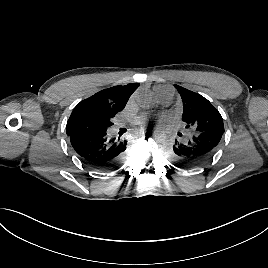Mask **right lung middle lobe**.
Returning <instances> with one entry per match:
<instances>
[{
    "instance_id": "obj_1",
    "label": "right lung middle lobe",
    "mask_w": 268,
    "mask_h": 268,
    "mask_svg": "<svg viewBox=\"0 0 268 268\" xmlns=\"http://www.w3.org/2000/svg\"><path fill=\"white\" fill-rule=\"evenodd\" d=\"M113 117L88 112L71 113L66 127L67 135L72 133L99 134L106 132L113 125L111 122Z\"/></svg>"
}]
</instances>
